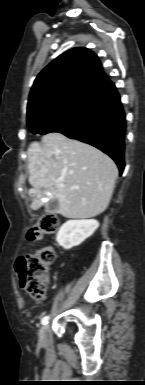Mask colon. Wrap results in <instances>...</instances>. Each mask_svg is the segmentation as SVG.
<instances>
[{
  "mask_svg": "<svg viewBox=\"0 0 145 385\" xmlns=\"http://www.w3.org/2000/svg\"><path fill=\"white\" fill-rule=\"evenodd\" d=\"M60 224L54 214L40 215L28 231L30 241L39 240L45 235L56 232ZM55 260V251L52 247L40 248L34 253L21 257L16 266L20 287L34 301L44 298L49 283V266Z\"/></svg>",
  "mask_w": 145,
  "mask_h": 385,
  "instance_id": "5ec220e1",
  "label": "colon"
}]
</instances>
